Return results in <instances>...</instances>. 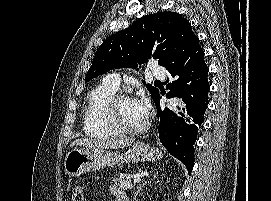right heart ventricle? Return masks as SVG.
Wrapping results in <instances>:
<instances>
[{
	"instance_id": "right-heart-ventricle-1",
	"label": "right heart ventricle",
	"mask_w": 271,
	"mask_h": 201,
	"mask_svg": "<svg viewBox=\"0 0 271 201\" xmlns=\"http://www.w3.org/2000/svg\"><path fill=\"white\" fill-rule=\"evenodd\" d=\"M114 93L115 89L100 85L88 96L83 115L84 131L88 136L109 139L121 134L107 114V104Z\"/></svg>"
}]
</instances>
